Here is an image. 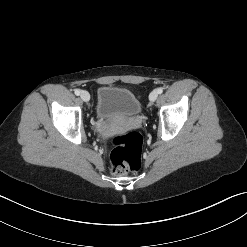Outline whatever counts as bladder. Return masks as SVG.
<instances>
[{"label":"bladder","mask_w":247,"mask_h":247,"mask_svg":"<svg viewBox=\"0 0 247 247\" xmlns=\"http://www.w3.org/2000/svg\"><path fill=\"white\" fill-rule=\"evenodd\" d=\"M140 112L141 103L131 90L113 85L99 87L95 107L97 118L135 117Z\"/></svg>","instance_id":"1"}]
</instances>
